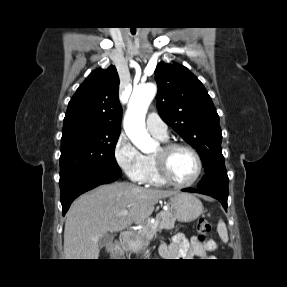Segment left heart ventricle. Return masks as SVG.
<instances>
[{"instance_id": "1", "label": "left heart ventricle", "mask_w": 287, "mask_h": 287, "mask_svg": "<svg viewBox=\"0 0 287 287\" xmlns=\"http://www.w3.org/2000/svg\"><path fill=\"white\" fill-rule=\"evenodd\" d=\"M160 152V148L155 154ZM168 168L172 177L178 182H188L197 172V162L192 153L184 149L175 150L168 158Z\"/></svg>"}]
</instances>
